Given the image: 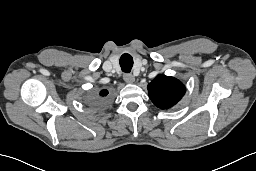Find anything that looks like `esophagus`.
I'll return each mask as SVG.
<instances>
[{"label": "esophagus", "mask_w": 256, "mask_h": 171, "mask_svg": "<svg viewBox=\"0 0 256 171\" xmlns=\"http://www.w3.org/2000/svg\"><path fill=\"white\" fill-rule=\"evenodd\" d=\"M123 79L127 83H133L134 82V76L132 74H124Z\"/></svg>", "instance_id": "esophagus-1"}]
</instances>
